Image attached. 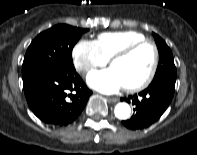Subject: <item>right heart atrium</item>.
<instances>
[{"instance_id":"d8ad5b80","label":"right heart atrium","mask_w":197,"mask_h":155,"mask_svg":"<svg viewBox=\"0 0 197 155\" xmlns=\"http://www.w3.org/2000/svg\"><path fill=\"white\" fill-rule=\"evenodd\" d=\"M73 63L76 70L87 75L97 67L107 64L108 58L94 40L81 39L72 50Z\"/></svg>"}]
</instances>
